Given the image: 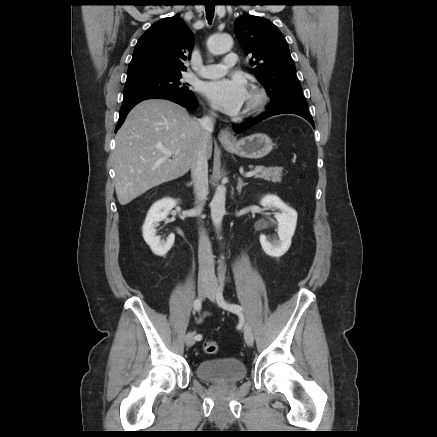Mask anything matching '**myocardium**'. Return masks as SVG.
I'll list each match as a JSON object with an SVG mask.
<instances>
[{
    "instance_id": "1",
    "label": "myocardium",
    "mask_w": 437,
    "mask_h": 437,
    "mask_svg": "<svg viewBox=\"0 0 437 437\" xmlns=\"http://www.w3.org/2000/svg\"><path fill=\"white\" fill-rule=\"evenodd\" d=\"M250 94L253 97V101L248 107L245 108L244 116H252L259 113L265 107L268 101L266 92L259 87H253L250 90Z\"/></svg>"
}]
</instances>
